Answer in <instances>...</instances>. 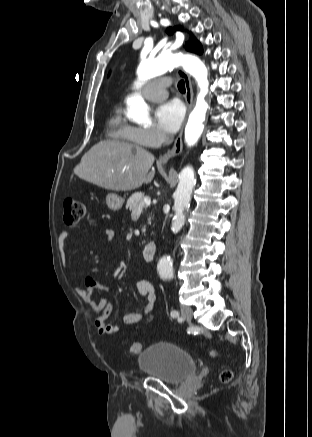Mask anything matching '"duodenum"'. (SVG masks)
<instances>
[{
	"instance_id": "1",
	"label": "duodenum",
	"mask_w": 312,
	"mask_h": 437,
	"mask_svg": "<svg viewBox=\"0 0 312 437\" xmlns=\"http://www.w3.org/2000/svg\"><path fill=\"white\" fill-rule=\"evenodd\" d=\"M154 253H155L154 243L149 242V243L145 244V246L143 247V250H142L143 259L147 262L152 261L153 257H154Z\"/></svg>"
}]
</instances>
